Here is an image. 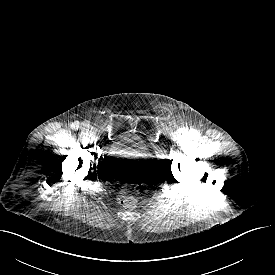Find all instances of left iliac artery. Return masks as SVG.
<instances>
[{
  "label": "left iliac artery",
  "mask_w": 275,
  "mask_h": 275,
  "mask_svg": "<svg viewBox=\"0 0 275 275\" xmlns=\"http://www.w3.org/2000/svg\"><path fill=\"white\" fill-rule=\"evenodd\" d=\"M189 134L192 138H196L198 136V132L196 130H191Z\"/></svg>",
  "instance_id": "44dca946"
}]
</instances>
